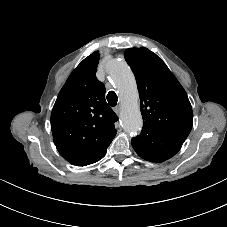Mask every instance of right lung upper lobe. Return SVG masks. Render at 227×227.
<instances>
[{
	"mask_svg": "<svg viewBox=\"0 0 227 227\" xmlns=\"http://www.w3.org/2000/svg\"><path fill=\"white\" fill-rule=\"evenodd\" d=\"M97 51L74 69L58 94L51 113V130L60 155L76 166L105 156L116 135L118 117L105 100V87L96 78Z\"/></svg>",
	"mask_w": 227,
	"mask_h": 227,
	"instance_id": "cb5924a9",
	"label": "right lung upper lobe"
}]
</instances>
